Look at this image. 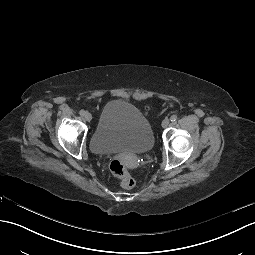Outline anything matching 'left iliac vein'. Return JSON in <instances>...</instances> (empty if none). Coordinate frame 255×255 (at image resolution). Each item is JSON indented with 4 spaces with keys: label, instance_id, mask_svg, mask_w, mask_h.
<instances>
[{
    "label": "left iliac vein",
    "instance_id": "1",
    "mask_svg": "<svg viewBox=\"0 0 255 255\" xmlns=\"http://www.w3.org/2000/svg\"><path fill=\"white\" fill-rule=\"evenodd\" d=\"M170 121L168 118H165L163 121H162V127L163 128H166L168 125H169Z\"/></svg>",
    "mask_w": 255,
    "mask_h": 255
}]
</instances>
